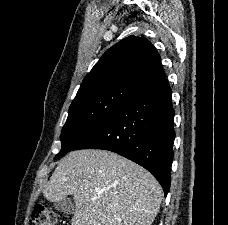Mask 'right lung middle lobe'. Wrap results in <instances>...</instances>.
<instances>
[{
  "instance_id": "obj_1",
  "label": "right lung middle lobe",
  "mask_w": 228,
  "mask_h": 225,
  "mask_svg": "<svg viewBox=\"0 0 228 225\" xmlns=\"http://www.w3.org/2000/svg\"><path fill=\"white\" fill-rule=\"evenodd\" d=\"M138 90L139 88L127 83L110 82L80 92L70 105L61 133L62 148L55 159L69 152L84 135L109 117Z\"/></svg>"
}]
</instances>
